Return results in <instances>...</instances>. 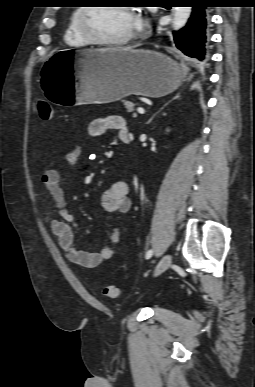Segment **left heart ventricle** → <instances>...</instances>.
Segmentation results:
<instances>
[{
    "instance_id": "b2bd125f",
    "label": "left heart ventricle",
    "mask_w": 255,
    "mask_h": 387,
    "mask_svg": "<svg viewBox=\"0 0 255 387\" xmlns=\"http://www.w3.org/2000/svg\"><path fill=\"white\" fill-rule=\"evenodd\" d=\"M88 21L95 35L103 39H121L134 32V16L120 7H97Z\"/></svg>"
}]
</instances>
